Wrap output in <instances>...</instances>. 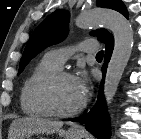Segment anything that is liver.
<instances>
[{
    "mask_svg": "<svg viewBox=\"0 0 141 139\" xmlns=\"http://www.w3.org/2000/svg\"><path fill=\"white\" fill-rule=\"evenodd\" d=\"M62 121H53L37 116L24 117L12 122L9 130L10 139H27L33 134H53L63 126Z\"/></svg>",
    "mask_w": 141,
    "mask_h": 139,
    "instance_id": "obj_1",
    "label": "liver"
}]
</instances>
